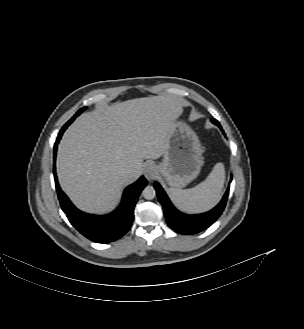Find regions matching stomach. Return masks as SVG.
<instances>
[{"instance_id": "stomach-1", "label": "stomach", "mask_w": 304, "mask_h": 329, "mask_svg": "<svg viewBox=\"0 0 304 329\" xmlns=\"http://www.w3.org/2000/svg\"><path fill=\"white\" fill-rule=\"evenodd\" d=\"M202 153L195 132L184 121L176 120L157 170L171 187L182 188L199 175Z\"/></svg>"}]
</instances>
